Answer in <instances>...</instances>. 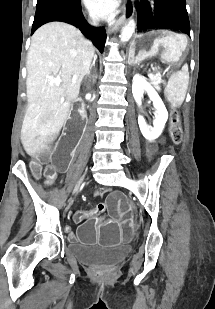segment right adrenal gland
<instances>
[{
	"label": "right adrenal gland",
	"instance_id": "obj_1",
	"mask_svg": "<svg viewBox=\"0 0 215 309\" xmlns=\"http://www.w3.org/2000/svg\"><path fill=\"white\" fill-rule=\"evenodd\" d=\"M96 58H97V54H94L93 62H92V64H90L87 74H90V70H91L92 66H95Z\"/></svg>",
	"mask_w": 215,
	"mask_h": 309
}]
</instances>
